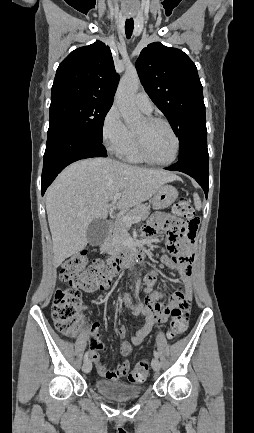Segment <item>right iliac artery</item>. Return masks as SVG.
Returning <instances> with one entry per match:
<instances>
[{
    "mask_svg": "<svg viewBox=\"0 0 254 433\" xmlns=\"http://www.w3.org/2000/svg\"><path fill=\"white\" fill-rule=\"evenodd\" d=\"M89 357V351H87L84 355V362L88 360Z\"/></svg>",
    "mask_w": 254,
    "mask_h": 433,
    "instance_id": "1",
    "label": "right iliac artery"
}]
</instances>
